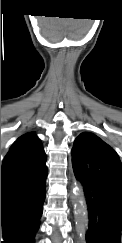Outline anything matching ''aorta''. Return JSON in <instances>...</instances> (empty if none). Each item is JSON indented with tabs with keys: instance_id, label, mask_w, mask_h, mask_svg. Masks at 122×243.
<instances>
[{
	"instance_id": "aorta-1",
	"label": "aorta",
	"mask_w": 122,
	"mask_h": 243,
	"mask_svg": "<svg viewBox=\"0 0 122 243\" xmlns=\"http://www.w3.org/2000/svg\"><path fill=\"white\" fill-rule=\"evenodd\" d=\"M71 198L74 204V215L76 220L77 232L83 234L85 232L87 214H86V208L84 205L81 189L75 187Z\"/></svg>"
}]
</instances>
